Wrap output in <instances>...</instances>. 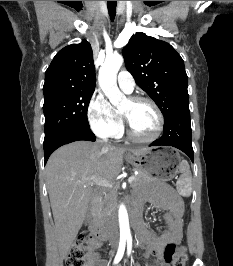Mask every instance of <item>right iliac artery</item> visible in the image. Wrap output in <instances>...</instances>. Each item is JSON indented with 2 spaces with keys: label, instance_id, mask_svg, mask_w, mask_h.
<instances>
[{
  "label": "right iliac artery",
  "instance_id": "obj_1",
  "mask_svg": "<svg viewBox=\"0 0 233 266\" xmlns=\"http://www.w3.org/2000/svg\"><path fill=\"white\" fill-rule=\"evenodd\" d=\"M125 245H126V240L124 238L120 239L118 251L113 262L114 264H117L122 259L125 251Z\"/></svg>",
  "mask_w": 233,
  "mask_h": 266
}]
</instances>
